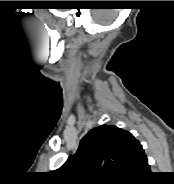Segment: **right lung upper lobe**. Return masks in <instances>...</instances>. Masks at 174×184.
<instances>
[{"instance_id": "cb5924a9", "label": "right lung upper lobe", "mask_w": 174, "mask_h": 184, "mask_svg": "<svg viewBox=\"0 0 174 184\" xmlns=\"http://www.w3.org/2000/svg\"><path fill=\"white\" fill-rule=\"evenodd\" d=\"M145 158L142 146L130 132L101 125L81 139L76 153L55 174L64 183H117Z\"/></svg>"}]
</instances>
